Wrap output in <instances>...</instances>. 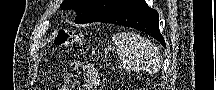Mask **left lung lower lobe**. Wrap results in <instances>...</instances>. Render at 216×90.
Here are the masks:
<instances>
[{"label": "left lung lower lobe", "instance_id": "obj_1", "mask_svg": "<svg viewBox=\"0 0 216 90\" xmlns=\"http://www.w3.org/2000/svg\"><path fill=\"white\" fill-rule=\"evenodd\" d=\"M94 22L112 23L141 30L166 47L159 31L158 13L150 8L144 0H129L123 6L113 9Z\"/></svg>", "mask_w": 216, "mask_h": 90}]
</instances>
